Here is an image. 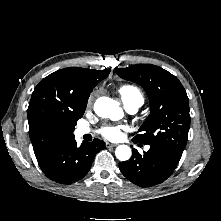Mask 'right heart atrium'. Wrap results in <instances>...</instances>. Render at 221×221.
<instances>
[{"label": "right heart atrium", "instance_id": "1", "mask_svg": "<svg viewBox=\"0 0 221 221\" xmlns=\"http://www.w3.org/2000/svg\"><path fill=\"white\" fill-rule=\"evenodd\" d=\"M89 104H91V100H89Z\"/></svg>", "mask_w": 221, "mask_h": 221}]
</instances>
